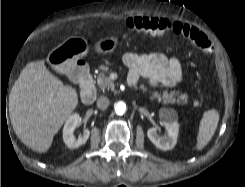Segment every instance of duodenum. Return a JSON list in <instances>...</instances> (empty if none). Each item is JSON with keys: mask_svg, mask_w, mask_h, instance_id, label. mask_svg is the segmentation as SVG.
Returning <instances> with one entry per match:
<instances>
[{"mask_svg": "<svg viewBox=\"0 0 245 187\" xmlns=\"http://www.w3.org/2000/svg\"><path fill=\"white\" fill-rule=\"evenodd\" d=\"M72 76L82 84L81 100L85 104L92 103L97 96V89L84 63H78L72 70Z\"/></svg>", "mask_w": 245, "mask_h": 187, "instance_id": "obj_1", "label": "duodenum"}]
</instances>
